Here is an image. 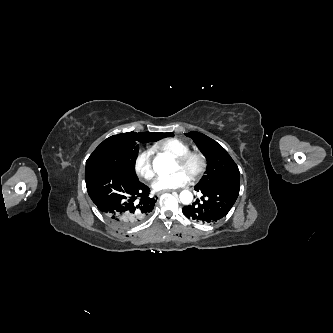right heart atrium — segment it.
<instances>
[{
    "instance_id": "1",
    "label": "right heart atrium",
    "mask_w": 333,
    "mask_h": 333,
    "mask_svg": "<svg viewBox=\"0 0 333 333\" xmlns=\"http://www.w3.org/2000/svg\"><path fill=\"white\" fill-rule=\"evenodd\" d=\"M152 158V149H146L137 155L134 163L135 172L137 175L147 181H150L155 176Z\"/></svg>"
}]
</instances>
